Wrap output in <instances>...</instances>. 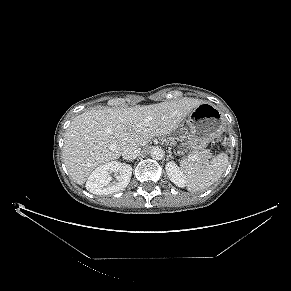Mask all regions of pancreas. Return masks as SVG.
<instances>
[{"label":"pancreas","mask_w":291,"mask_h":291,"mask_svg":"<svg viewBox=\"0 0 291 291\" xmlns=\"http://www.w3.org/2000/svg\"><path fill=\"white\" fill-rule=\"evenodd\" d=\"M193 155H195L196 157H198L197 162L200 164H207L209 158L211 157L210 154L206 151H195L193 152Z\"/></svg>","instance_id":"1"}]
</instances>
